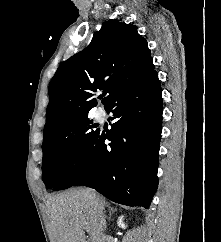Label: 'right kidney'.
<instances>
[{
  "label": "right kidney",
  "mask_w": 221,
  "mask_h": 242,
  "mask_svg": "<svg viewBox=\"0 0 221 242\" xmlns=\"http://www.w3.org/2000/svg\"><path fill=\"white\" fill-rule=\"evenodd\" d=\"M123 220H124V217L123 216H120L119 218H118V221H117V224H118V226L120 227V228H122V229H126V225H125V223L123 222Z\"/></svg>",
  "instance_id": "ca27d5eb"
}]
</instances>
